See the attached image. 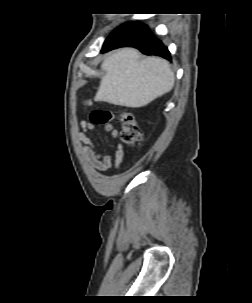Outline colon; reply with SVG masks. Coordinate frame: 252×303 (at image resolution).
<instances>
[{
	"mask_svg": "<svg viewBox=\"0 0 252 303\" xmlns=\"http://www.w3.org/2000/svg\"><path fill=\"white\" fill-rule=\"evenodd\" d=\"M114 115L105 109H95L91 112L89 120L94 125H105L113 121ZM121 140L126 144H137L140 141V130L133 114L124 112L120 116Z\"/></svg>",
	"mask_w": 252,
	"mask_h": 303,
	"instance_id": "obj_1",
	"label": "colon"
}]
</instances>
